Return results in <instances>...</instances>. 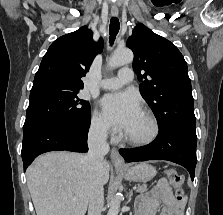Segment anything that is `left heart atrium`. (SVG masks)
I'll use <instances>...</instances> for the list:
<instances>
[{"label": "left heart atrium", "mask_w": 223, "mask_h": 215, "mask_svg": "<svg viewBox=\"0 0 223 215\" xmlns=\"http://www.w3.org/2000/svg\"><path fill=\"white\" fill-rule=\"evenodd\" d=\"M105 119L119 129H126L140 112L139 98L133 91L111 93L100 101Z\"/></svg>", "instance_id": "39dd6f15"}]
</instances>
